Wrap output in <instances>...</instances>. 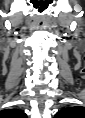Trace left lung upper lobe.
Here are the masks:
<instances>
[{"mask_svg":"<svg viewBox=\"0 0 85 118\" xmlns=\"http://www.w3.org/2000/svg\"><path fill=\"white\" fill-rule=\"evenodd\" d=\"M74 111H75V107L63 108V109L60 111L59 115H60V116L71 115Z\"/></svg>","mask_w":85,"mask_h":118,"instance_id":"obj_1","label":"left lung upper lobe"}]
</instances>
